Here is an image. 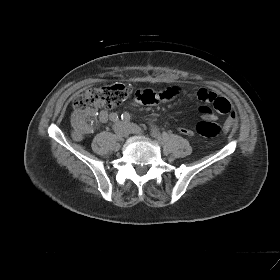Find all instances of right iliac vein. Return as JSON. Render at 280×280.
Returning <instances> with one entry per match:
<instances>
[{
	"label": "right iliac vein",
	"mask_w": 280,
	"mask_h": 280,
	"mask_svg": "<svg viewBox=\"0 0 280 280\" xmlns=\"http://www.w3.org/2000/svg\"><path fill=\"white\" fill-rule=\"evenodd\" d=\"M128 132V129L126 127L121 128V134L126 135Z\"/></svg>",
	"instance_id": "right-iliac-vein-1"
}]
</instances>
